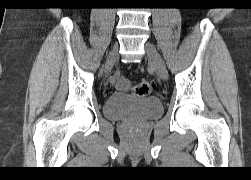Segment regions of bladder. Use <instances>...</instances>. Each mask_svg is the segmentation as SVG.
<instances>
[{
	"instance_id": "obj_1",
	"label": "bladder",
	"mask_w": 251,
	"mask_h": 180,
	"mask_svg": "<svg viewBox=\"0 0 251 180\" xmlns=\"http://www.w3.org/2000/svg\"><path fill=\"white\" fill-rule=\"evenodd\" d=\"M163 104L156 97H134L114 93L103 107L104 116L110 120H150L161 115Z\"/></svg>"
}]
</instances>
